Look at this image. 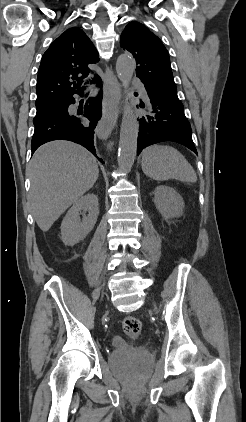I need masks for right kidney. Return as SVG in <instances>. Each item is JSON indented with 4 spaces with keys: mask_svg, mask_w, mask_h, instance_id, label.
<instances>
[{
    "mask_svg": "<svg viewBox=\"0 0 246 422\" xmlns=\"http://www.w3.org/2000/svg\"><path fill=\"white\" fill-rule=\"evenodd\" d=\"M88 211L80 219L79 212ZM99 215L98 196L88 193L76 201L68 210L61 224V239L65 245L73 246L83 240L94 228Z\"/></svg>",
    "mask_w": 246,
    "mask_h": 422,
    "instance_id": "ca27d5eb",
    "label": "right kidney"
}]
</instances>
